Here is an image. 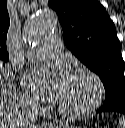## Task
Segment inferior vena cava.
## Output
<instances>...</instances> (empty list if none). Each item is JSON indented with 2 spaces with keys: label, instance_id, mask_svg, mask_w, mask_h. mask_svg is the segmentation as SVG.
Wrapping results in <instances>:
<instances>
[{
  "label": "inferior vena cava",
  "instance_id": "inferior-vena-cava-1",
  "mask_svg": "<svg viewBox=\"0 0 125 128\" xmlns=\"http://www.w3.org/2000/svg\"><path fill=\"white\" fill-rule=\"evenodd\" d=\"M38 103L28 102L22 112V118L26 127H32V124L37 119Z\"/></svg>",
  "mask_w": 125,
  "mask_h": 128
}]
</instances>
